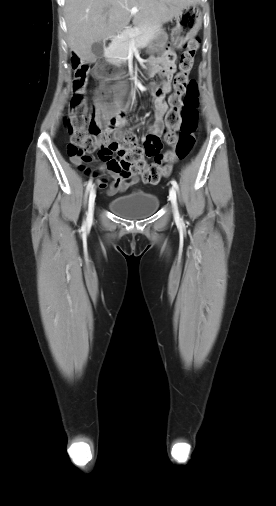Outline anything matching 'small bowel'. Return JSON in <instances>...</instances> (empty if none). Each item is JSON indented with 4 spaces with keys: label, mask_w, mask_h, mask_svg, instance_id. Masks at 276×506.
I'll use <instances>...</instances> for the list:
<instances>
[{
    "label": "small bowel",
    "mask_w": 276,
    "mask_h": 506,
    "mask_svg": "<svg viewBox=\"0 0 276 506\" xmlns=\"http://www.w3.org/2000/svg\"><path fill=\"white\" fill-rule=\"evenodd\" d=\"M175 54L167 50L162 55L151 58L146 63L147 74L151 77L160 76L162 81L159 84H154L152 89L154 91V106L155 116L153 123L149 126L147 134H154L158 137L164 132V116L168 110V105L164 102V96L171 92V78L175 71ZM74 91L78 92L80 89L73 83ZM160 91L159 95H156V91ZM99 92H95V96L99 97ZM118 126L124 127L126 122L120 120L117 123ZM152 154L151 156H154ZM103 170L106 172L105 175L98 176L97 184L101 189H107L109 195H114L118 192H123L131 188L138 183V177L135 174L129 173L122 168L120 159L112 157L103 165ZM108 178L112 179V183L108 187Z\"/></svg>",
    "instance_id": "c3829d8e"
}]
</instances>
